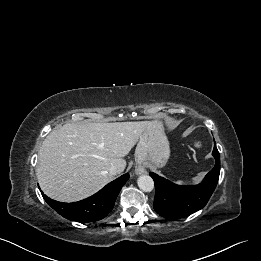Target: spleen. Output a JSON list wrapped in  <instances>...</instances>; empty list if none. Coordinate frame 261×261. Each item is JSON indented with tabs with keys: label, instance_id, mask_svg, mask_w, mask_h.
<instances>
[{
	"label": "spleen",
	"instance_id": "1",
	"mask_svg": "<svg viewBox=\"0 0 261 261\" xmlns=\"http://www.w3.org/2000/svg\"><path fill=\"white\" fill-rule=\"evenodd\" d=\"M189 181H183V180H178L176 181L177 184L179 185H184V184H187Z\"/></svg>",
	"mask_w": 261,
	"mask_h": 261
}]
</instances>
